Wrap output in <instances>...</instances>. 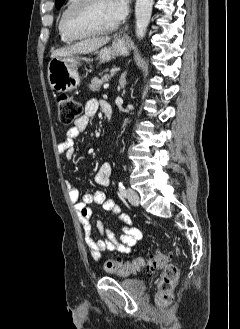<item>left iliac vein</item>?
I'll use <instances>...</instances> for the list:
<instances>
[{
    "mask_svg": "<svg viewBox=\"0 0 240 329\" xmlns=\"http://www.w3.org/2000/svg\"><path fill=\"white\" fill-rule=\"evenodd\" d=\"M127 197H128L129 202L133 206H138L139 205V196H138L136 191L129 188L128 191H127Z\"/></svg>",
    "mask_w": 240,
    "mask_h": 329,
    "instance_id": "4c4485c4",
    "label": "left iliac vein"
}]
</instances>
